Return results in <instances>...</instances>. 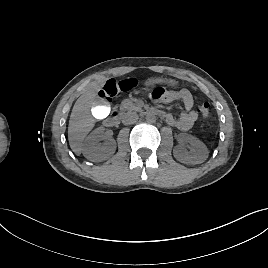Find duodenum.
<instances>
[{
  "label": "duodenum",
  "mask_w": 268,
  "mask_h": 268,
  "mask_svg": "<svg viewBox=\"0 0 268 268\" xmlns=\"http://www.w3.org/2000/svg\"><path fill=\"white\" fill-rule=\"evenodd\" d=\"M152 114L163 116V112L160 110H151ZM121 115L117 109H114L110 117L106 120V123L110 126L117 124L120 121Z\"/></svg>",
  "instance_id": "410a0bca"
}]
</instances>
